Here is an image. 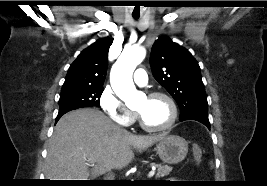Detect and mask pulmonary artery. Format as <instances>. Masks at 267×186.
<instances>
[{"label":"pulmonary artery","instance_id":"obj_1","mask_svg":"<svg viewBox=\"0 0 267 186\" xmlns=\"http://www.w3.org/2000/svg\"><path fill=\"white\" fill-rule=\"evenodd\" d=\"M133 79L140 86H144L148 82L147 73L143 69H137L133 75Z\"/></svg>","mask_w":267,"mask_h":186}]
</instances>
